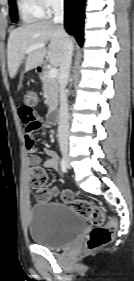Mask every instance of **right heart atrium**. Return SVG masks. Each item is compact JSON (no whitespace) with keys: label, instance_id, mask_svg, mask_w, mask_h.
Returning <instances> with one entry per match:
<instances>
[{"label":"right heart atrium","instance_id":"obj_1","mask_svg":"<svg viewBox=\"0 0 134 281\" xmlns=\"http://www.w3.org/2000/svg\"><path fill=\"white\" fill-rule=\"evenodd\" d=\"M45 13L50 14L63 5L64 0H38Z\"/></svg>","mask_w":134,"mask_h":281}]
</instances>
